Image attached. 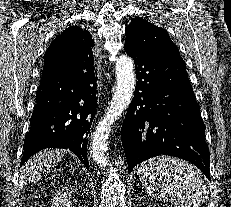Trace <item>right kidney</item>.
Instances as JSON below:
<instances>
[{"mask_svg":"<svg viewBox=\"0 0 231 207\" xmlns=\"http://www.w3.org/2000/svg\"><path fill=\"white\" fill-rule=\"evenodd\" d=\"M71 195L72 193L67 189L57 192L52 199L51 207H72Z\"/></svg>","mask_w":231,"mask_h":207,"instance_id":"1","label":"right kidney"}]
</instances>
